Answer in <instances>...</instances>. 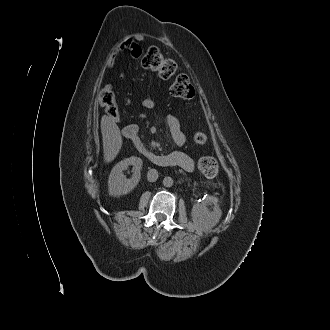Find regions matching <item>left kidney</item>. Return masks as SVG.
I'll return each mask as SVG.
<instances>
[{
	"label": "left kidney",
	"instance_id": "1",
	"mask_svg": "<svg viewBox=\"0 0 330 330\" xmlns=\"http://www.w3.org/2000/svg\"><path fill=\"white\" fill-rule=\"evenodd\" d=\"M215 197H207V201L193 205L191 216L193 223L202 231H208L220 221L222 211ZM208 203H213V210L207 208Z\"/></svg>",
	"mask_w": 330,
	"mask_h": 330
}]
</instances>
